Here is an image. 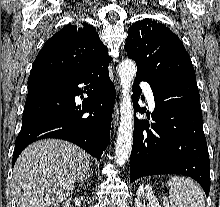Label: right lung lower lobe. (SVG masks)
Here are the masks:
<instances>
[{
  "label": "right lung lower lobe",
  "instance_id": "98d812e1",
  "mask_svg": "<svg viewBox=\"0 0 220 207\" xmlns=\"http://www.w3.org/2000/svg\"><path fill=\"white\" fill-rule=\"evenodd\" d=\"M107 60L79 73L31 72L22 127L15 141L12 166L21 151L44 138L70 141L97 159L110 141L115 87L109 78ZM85 85L84 91L78 87ZM88 95L81 106L75 96ZM85 113H89L86 115Z\"/></svg>",
  "mask_w": 220,
  "mask_h": 207
}]
</instances>
